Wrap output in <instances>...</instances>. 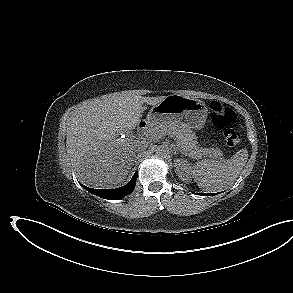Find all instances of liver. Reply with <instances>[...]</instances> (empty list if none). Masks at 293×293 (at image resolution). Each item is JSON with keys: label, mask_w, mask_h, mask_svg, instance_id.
Segmentation results:
<instances>
[{"label": "liver", "mask_w": 293, "mask_h": 293, "mask_svg": "<svg viewBox=\"0 0 293 293\" xmlns=\"http://www.w3.org/2000/svg\"><path fill=\"white\" fill-rule=\"evenodd\" d=\"M165 97L111 93L76 108L67 121L66 149L78 177L94 187L123 183L138 140L119 136L136 128L144 103L156 105Z\"/></svg>", "instance_id": "liver-1"}]
</instances>
